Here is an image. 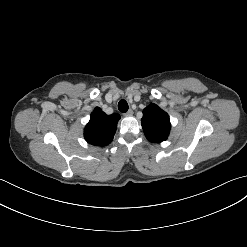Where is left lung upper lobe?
<instances>
[{
    "mask_svg": "<svg viewBox=\"0 0 247 247\" xmlns=\"http://www.w3.org/2000/svg\"><path fill=\"white\" fill-rule=\"evenodd\" d=\"M141 122L144 134L150 142L161 143L168 138L171 129L169 115L156 104L151 103L144 108Z\"/></svg>",
    "mask_w": 247,
    "mask_h": 247,
    "instance_id": "5c2ea615",
    "label": "left lung upper lobe"
}]
</instances>
